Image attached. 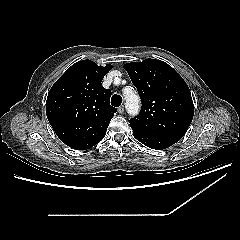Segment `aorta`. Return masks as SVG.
Listing matches in <instances>:
<instances>
[{"instance_id":"aorta-1","label":"aorta","mask_w":240,"mask_h":240,"mask_svg":"<svg viewBox=\"0 0 240 240\" xmlns=\"http://www.w3.org/2000/svg\"><path fill=\"white\" fill-rule=\"evenodd\" d=\"M126 109L129 114L135 115L139 110V97L135 93H129L125 95Z\"/></svg>"}]
</instances>
